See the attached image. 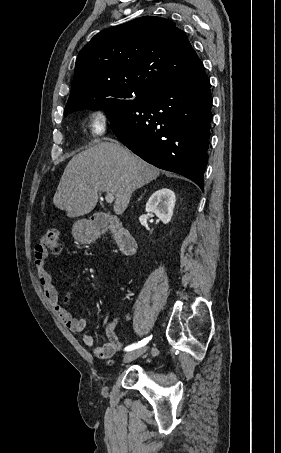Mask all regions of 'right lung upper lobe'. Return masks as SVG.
Masks as SVG:
<instances>
[{
	"label": "right lung upper lobe",
	"mask_w": 281,
	"mask_h": 453,
	"mask_svg": "<svg viewBox=\"0 0 281 453\" xmlns=\"http://www.w3.org/2000/svg\"><path fill=\"white\" fill-rule=\"evenodd\" d=\"M198 56L166 18L144 16L99 32L80 51L64 116L128 101L173 79Z\"/></svg>",
	"instance_id": "1"
}]
</instances>
